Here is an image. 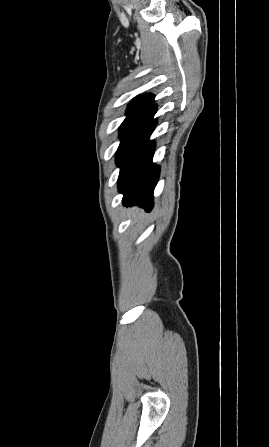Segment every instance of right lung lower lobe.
I'll return each instance as SVG.
<instances>
[{"instance_id":"98d812e1","label":"right lung lower lobe","mask_w":269,"mask_h":447,"mask_svg":"<svg viewBox=\"0 0 269 447\" xmlns=\"http://www.w3.org/2000/svg\"><path fill=\"white\" fill-rule=\"evenodd\" d=\"M156 105L129 115L120 128L122 139L116 155L121 168L118 187L125 206L139 205L150 211L153 190L159 178L160 167L152 163L155 143L149 141L157 121L153 119Z\"/></svg>"}]
</instances>
